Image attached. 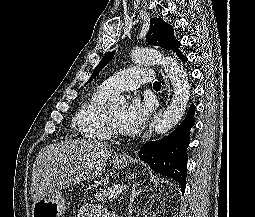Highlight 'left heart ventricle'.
Returning <instances> with one entry per match:
<instances>
[{
  "label": "left heart ventricle",
  "mask_w": 255,
  "mask_h": 217,
  "mask_svg": "<svg viewBox=\"0 0 255 217\" xmlns=\"http://www.w3.org/2000/svg\"><path fill=\"white\" fill-rule=\"evenodd\" d=\"M110 115H111V118L113 120V122L115 123L116 127L121 131V120H122V117L125 113V109H116V110H113V111H110L109 112Z\"/></svg>",
  "instance_id": "obj_1"
}]
</instances>
